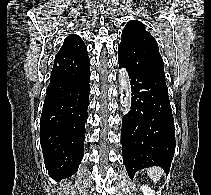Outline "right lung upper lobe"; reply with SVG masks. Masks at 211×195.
Here are the masks:
<instances>
[{
    "mask_svg": "<svg viewBox=\"0 0 211 195\" xmlns=\"http://www.w3.org/2000/svg\"><path fill=\"white\" fill-rule=\"evenodd\" d=\"M89 63L85 43L78 35H69L55 57L50 78L76 72Z\"/></svg>",
    "mask_w": 211,
    "mask_h": 195,
    "instance_id": "obj_1",
    "label": "right lung upper lobe"
}]
</instances>
